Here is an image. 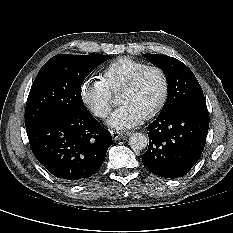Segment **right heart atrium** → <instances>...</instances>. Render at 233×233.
<instances>
[{
    "mask_svg": "<svg viewBox=\"0 0 233 233\" xmlns=\"http://www.w3.org/2000/svg\"><path fill=\"white\" fill-rule=\"evenodd\" d=\"M80 97L97 117L106 118L112 108V94L100 78L85 79L80 86Z\"/></svg>",
    "mask_w": 233,
    "mask_h": 233,
    "instance_id": "1",
    "label": "right heart atrium"
}]
</instances>
